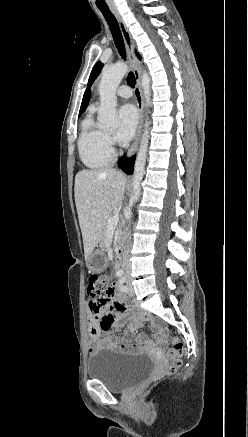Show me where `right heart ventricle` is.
<instances>
[{"label": "right heart ventricle", "mask_w": 248, "mask_h": 437, "mask_svg": "<svg viewBox=\"0 0 248 437\" xmlns=\"http://www.w3.org/2000/svg\"><path fill=\"white\" fill-rule=\"evenodd\" d=\"M106 131L91 115H87L80 127L78 150L83 164L90 169H102L112 162V153L106 144Z\"/></svg>", "instance_id": "e07e8e85"}]
</instances>
